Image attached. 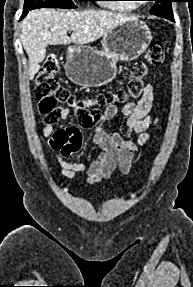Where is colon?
Here are the masks:
<instances>
[{
	"instance_id": "1",
	"label": "colon",
	"mask_w": 193,
	"mask_h": 287,
	"mask_svg": "<svg viewBox=\"0 0 193 287\" xmlns=\"http://www.w3.org/2000/svg\"><path fill=\"white\" fill-rule=\"evenodd\" d=\"M163 60V45L159 42L152 43L144 57L132 66L131 79L126 88L98 95H85L82 99H76L68 88L60 84L59 61L56 54L50 53L36 79L39 108L42 113L48 115L45 126L56 125L58 114L56 107L65 105L74 110L80 127L86 129L93 127L101 120L102 109L139 98L144 90V78L148 74L149 67L160 65Z\"/></svg>"
}]
</instances>
